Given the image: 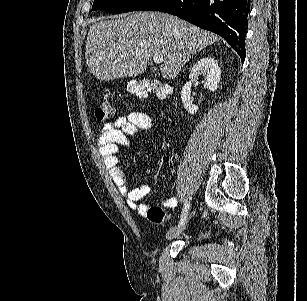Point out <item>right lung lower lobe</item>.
Masks as SVG:
<instances>
[{
	"label": "right lung lower lobe",
	"instance_id": "98d812e1",
	"mask_svg": "<svg viewBox=\"0 0 307 301\" xmlns=\"http://www.w3.org/2000/svg\"><path fill=\"white\" fill-rule=\"evenodd\" d=\"M151 10L176 15L220 35L245 60L248 0H153L142 9Z\"/></svg>",
	"mask_w": 307,
	"mask_h": 301
}]
</instances>
